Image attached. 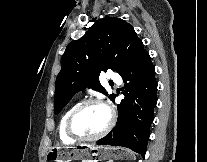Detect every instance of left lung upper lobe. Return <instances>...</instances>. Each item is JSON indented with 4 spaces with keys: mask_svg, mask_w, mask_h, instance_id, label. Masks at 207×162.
<instances>
[{
    "mask_svg": "<svg viewBox=\"0 0 207 162\" xmlns=\"http://www.w3.org/2000/svg\"><path fill=\"white\" fill-rule=\"evenodd\" d=\"M144 51L129 23L112 17L95 21L82 38L68 44L63 54L56 79L55 114L86 87L105 93L98 81L101 70L110 68L121 75ZM109 98L113 101L115 95Z\"/></svg>",
    "mask_w": 207,
    "mask_h": 162,
    "instance_id": "5c2ea615",
    "label": "left lung upper lobe"
}]
</instances>
